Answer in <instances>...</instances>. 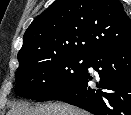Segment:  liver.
Here are the masks:
<instances>
[{
    "instance_id": "obj_1",
    "label": "liver",
    "mask_w": 131,
    "mask_h": 115,
    "mask_svg": "<svg viewBox=\"0 0 131 115\" xmlns=\"http://www.w3.org/2000/svg\"><path fill=\"white\" fill-rule=\"evenodd\" d=\"M7 115H89V113L63 103L38 105L34 107L28 102H20L14 105Z\"/></svg>"
}]
</instances>
